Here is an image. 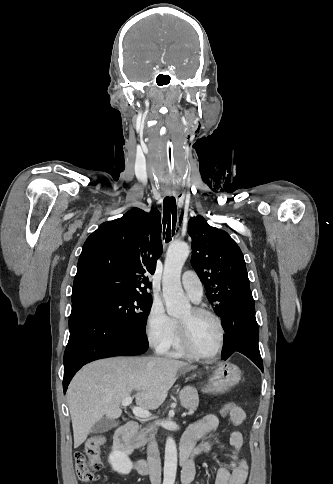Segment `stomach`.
Listing matches in <instances>:
<instances>
[{"instance_id":"stomach-1","label":"stomach","mask_w":333,"mask_h":484,"mask_svg":"<svg viewBox=\"0 0 333 484\" xmlns=\"http://www.w3.org/2000/svg\"><path fill=\"white\" fill-rule=\"evenodd\" d=\"M241 379L239 367L229 361L219 362L208 372L206 391L213 394H225Z\"/></svg>"}]
</instances>
